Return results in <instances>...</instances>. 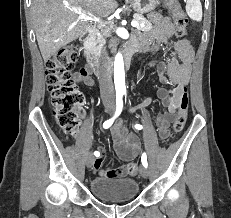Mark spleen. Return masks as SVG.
Returning <instances> with one entry per match:
<instances>
[{
	"mask_svg": "<svg viewBox=\"0 0 231 218\" xmlns=\"http://www.w3.org/2000/svg\"><path fill=\"white\" fill-rule=\"evenodd\" d=\"M188 16L197 22L202 20V6L200 0H185Z\"/></svg>",
	"mask_w": 231,
	"mask_h": 218,
	"instance_id": "obj_1",
	"label": "spleen"
}]
</instances>
